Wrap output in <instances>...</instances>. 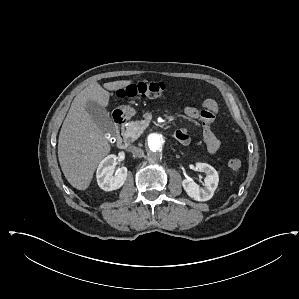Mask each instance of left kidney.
I'll return each instance as SVG.
<instances>
[{
	"instance_id": "left-kidney-1",
	"label": "left kidney",
	"mask_w": 299,
	"mask_h": 299,
	"mask_svg": "<svg viewBox=\"0 0 299 299\" xmlns=\"http://www.w3.org/2000/svg\"><path fill=\"white\" fill-rule=\"evenodd\" d=\"M196 170L204 172V187H200L197 183L190 179H184L182 186L187 195L196 201H207L212 198L218 186V172L207 163H197Z\"/></svg>"
}]
</instances>
